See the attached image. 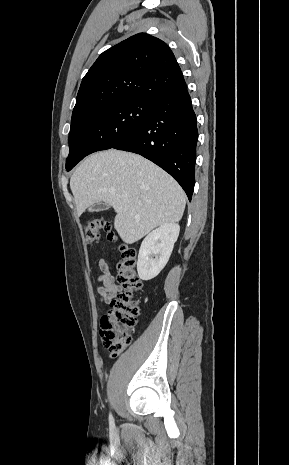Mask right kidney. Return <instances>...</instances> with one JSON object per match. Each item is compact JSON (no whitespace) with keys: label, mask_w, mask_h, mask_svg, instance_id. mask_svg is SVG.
Returning <instances> with one entry per match:
<instances>
[{"label":"right kidney","mask_w":289,"mask_h":465,"mask_svg":"<svg viewBox=\"0 0 289 465\" xmlns=\"http://www.w3.org/2000/svg\"><path fill=\"white\" fill-rule=\"evenodd\" d=\"M180 226L166 223L150 232L142 241L137 261L139 278L148 281L156 277L167 264Z\"/></svg>","instance_id":"1"}]
</instances>
